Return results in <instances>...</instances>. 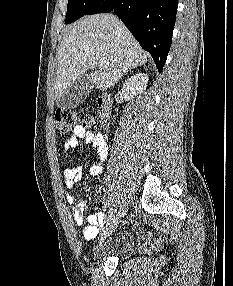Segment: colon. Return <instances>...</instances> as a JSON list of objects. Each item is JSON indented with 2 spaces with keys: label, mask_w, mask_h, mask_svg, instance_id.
<instances>
[{
  "label": "colon",
  "mask_w": 233,
  "mask_h": 286,
  "mask_svg": "<svg viewBox=\"0 0 233 286\" xmlns=\"http://www.w3.org/2000/svg\"><path fill=\"white\" fill-rule=\"evenodd\" d=\"M55 124L62 137L69 139L77 126L94 129L96 127V118L90 111L64 109L55 113Z\"/></svg>",
  "instance_id": "5ec220e1"
}]
</instances>
